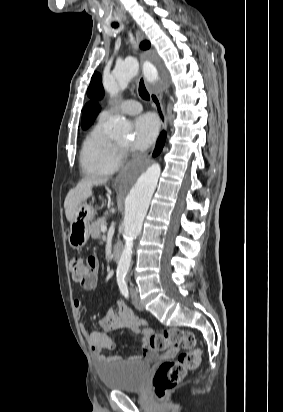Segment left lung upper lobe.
<instances>
[{
  "instance_id": "1",
  "label": "left lung upper lobe",
  "mask_w": 283,
  "mask_h": 412,
  "mask_svg": "<svg viewBox=\"0 0 283 412\" xmlns=\"http://www.w3.org/2000/svg\"><path fill=\"white\" fill-rule=\"evenodd\" d=\"M140 47L142 49H148L150 47V43L148 41H143ZM103 94L104 92L101 84V76L99 74H95L92 76L91 83L87 89V95L92 100H99L103 97ZM98 111L99 105L93 101L85 105L82 113V127L84 129L89 127Z\"/></svg>"
}]
</instances>
